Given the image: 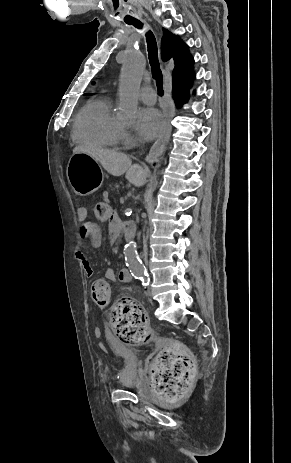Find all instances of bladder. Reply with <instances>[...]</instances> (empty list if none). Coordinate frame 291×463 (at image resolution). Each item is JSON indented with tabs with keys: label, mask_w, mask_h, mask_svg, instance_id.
<instances>
[{
	"label": "bladder",
	"mask_w": 291,
	"mask_h": 463,
	"mask_svg": "<svg viewBox=\"0 0 291 463\" xmlns=\"http://www.w3.org/2000/svg\"><path fill=\"white\" fill-rule=\"evenodd\" d=\"M117 352L125 363L124 369L118 374V382L123 388H136L139 385V377L136 371L138 360L134 348L118 345Z\"/></svg>",
	"instance_id": "1"
}]
</instances>
